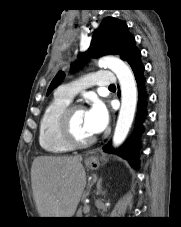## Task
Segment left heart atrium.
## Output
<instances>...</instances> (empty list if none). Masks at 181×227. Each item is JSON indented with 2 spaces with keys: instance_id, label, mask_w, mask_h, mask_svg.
Wrapping results in <instances>:
<instances>
[{
  "instance_id": "obj_1",
  "label": "left heart atrium",
  "mask_w": 181,
  "mask_h": 227,
  "mask_svg": "<svg viewBox=\"0 0 181 227\" xmlns=\"http://www.w3.org/2000/svg\"><path fill=\"white\" fill-rule=\"evenodd\" d=\"M86 122L93 134L101 132L107 125L108 113L101 102H95L86 110Z\"/></svg>"
}]
</instances>
